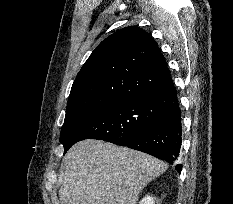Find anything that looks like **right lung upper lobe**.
<instances>
[{"mask_svg":"<svg viewBox=\"0 0 233 204\" xmlns=\"http://www.w3.org/2000/svg\"><path fill=\"white\" fill-rule=\"evenodd\" d=\"M172 84L158 44L139 27L123 28L103 40L77 74L63 127L104 105L153 96Z\"/></svg>","mask_w":233,"mask_h":204,"instance_id":"1","label":"right lung upper lobe"}]
</instances>
